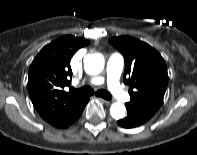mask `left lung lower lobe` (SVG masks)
Masks as SVG:
<instances>
[{
    "mask_svg": "<svg viewBox=\"0 0 197 155\" xmlns=\"http://www.w3.org/2000/svg\"><path fill=\"white\" fill-rule=\"evenodd\" d=\"M127 108V117L124 119L118 120V124L123 128H134L145 123L149 118L144 114L138 112L133 107L126 106Z\"/></svg>",
    "mask_w": 197,
    "mask_h": 155,
    "instance_id": "0a47b994",
    "label": "left lung lower lobe"
}]
</instances>
